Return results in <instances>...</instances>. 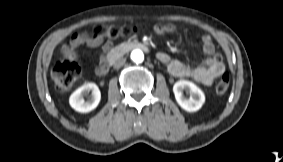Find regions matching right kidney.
Segmentation results:
<instances>
[{
    "mask_svg": "<svg viewBox=\"0 0 283 162\" xmlns=\"http://www.w3.org/2000/svg\"><path fill=\"white\" fill-rule=\"evenodd\" d=\"M90 92L91 96L85 101L84 97L88 96ZM100 99L101 93L97 85L95 83H87L71 94L69 103L77 112L87 113L98 106Z\"/></svg>",
    "mask_w": 283,
    "mask_h": 162,
    "instance_id": "right-kidney-1",
    "label": "right kidney"
}]
</instances>
